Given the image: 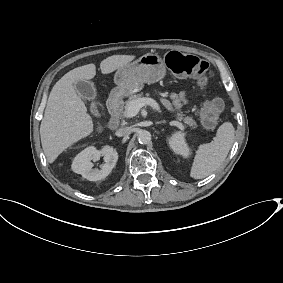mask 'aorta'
I'll use <instances>...</instances> for the list:
<instances>
[{"label":"aorta","instance_id":"obj_1","mask_svg":"<svg viewBox=\"0 0 283 283\" xmlns=\"http://www.w3.org/2000/svg\"><path fill=\"white\" fill-rule=\"evenodd\" d=\"M138 141L141 144H148L151 141V133L146 130H142L138 134Z\"/></svg>","mask_w":283,"mask_h":283}]
</instances>
